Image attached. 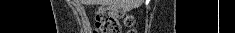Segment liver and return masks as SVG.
<instances>
[{"label": "liver", "instance_id": "1", "mask_svg": "<svg viewBox=\"0 0 235 33\" xmlns=\"http://www.w3.org/2000/svg\"><path fill=\"white\" fill-rule=\"evenodd\" d=\"M86 4H96V5H115L119 6L118 2L116 0H85ZM139 6V2L137 0H126V10H131L133 8H136Z\"/></svg>", "mask_w": 235, "mask_h": 33}]
</instances>
